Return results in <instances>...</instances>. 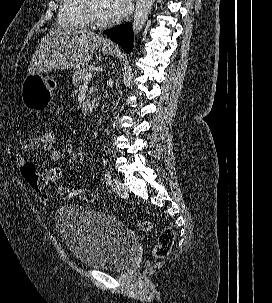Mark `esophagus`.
I'll use <instances>...</instances> for the list:
<instances>
[{
	"label": "esophagus",
	"instance_id": "1",
	"mask_svg": "<svg viewBox=\"0 0 272 303\" xmlns=\"http://www.w3.org/2000/svg\"><path fill=\"white\" fill-rule=\"evenodd\" d=\"M107 45L108 46H114L113 42H108Z\"/></svg>",
	"mask_w": 272,
	"mask_h": 303
}]
</instances>
